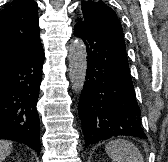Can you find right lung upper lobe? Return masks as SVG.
I'll list each match as a JSON object with an SVG mask.
<instances>
[{
	"mask_svg": "<svg viewBox=\"0 0 168 162\" xmlns=\"http://www.w3.org/2000/svg\"><path fill=\"white\" fill-rule=\"evenodd\" d=\"M42 50L37 3L13 0L0 11V69Z\"/></svg>",
	"mask_w": 168,
	"mask_h": 162,
	"instance_id": "right-lung-upper-lobe-1",
	"label": "right lung upper lobe"
}]
</instances>
